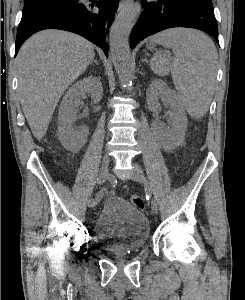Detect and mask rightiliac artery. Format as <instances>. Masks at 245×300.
<instances>
[{
	"label": "right iliac artery",
	"instance_id": "obj_1",
	"mask_svg": "<svg viewBox=\"0 0 245 300\" xmlns=\"http://www.w3.org/2000/svg\"><path fill=\"white\" fill-rule=\"evenodd\" d=\"M107 182H110V177H103V175H100L98 178H97V183L99 185L103 184V185H106ZM102 196H103V192L100 191L97 196L94 197V204L95 205H100L101 204V200H102Z\"/></svg>",
	"mask_w": 245,
	"mask_h": 300
}]
</instances>
